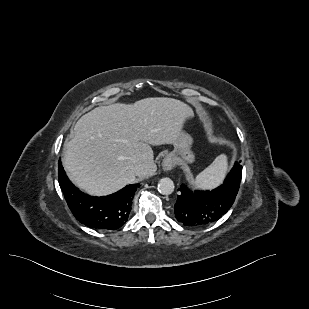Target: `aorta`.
Returning <instances> with one entry per match:
<instances>
[{"label": "aorta", "instance_id": "762f6f07", "mask_svg": "<svg viewBox=\"0 0 309 309\" xmlns=\"http://www.w3.org/2000/svg\"><path fill=\"white\" fill-rule=\"evenodd\" d=\"M174 183L170 178H162L158 183V191L163 195H170L174 191Z\"/></svg>", "mask_w": 309, "mask_h": 309}]
</instances>
